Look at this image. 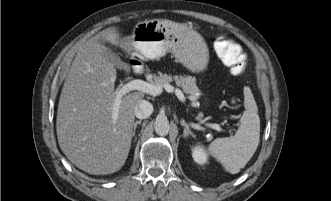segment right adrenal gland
<instances>
[{"instance_id": "obj_1", "label": "right adrenal gland", "mask_w": 331, "mask_h": 201, "mask_svg": "<svg viewBox=\"0 0 331 201\" xmlns=\"http://www.w3.org/2000/svg\"><path fill=\"white\" fill-rule=\"evenodd\" d=\"M141 123H142L141 120L134 122V124H133V133H132V136H133V137L135 136V132H136L137 125H140ZM136 140H137V138H135V141H136Z\"/></svg>"}]
</instances>
